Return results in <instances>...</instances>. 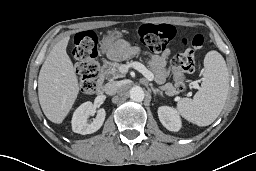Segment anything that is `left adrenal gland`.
Wrapping results in <instances>:
<instances>
[{
  "label": "left adrenal gland",
  "instance_id": "a2214340",
  "mask_svg": "<svg viewBox=\"0 0 256 171\" xmlns=\"http://www.w3.org/2000/svg\"><path fill=\"white\" fill-rule=\"evenodd\" d=\"M151 89L155 96L157 95V93H159L161 96L163 95L161 90L154 88L152 85H151Z\"/></svg>",
  "mask_w": 256,
  "mask_h": 171
}]
</instances>
